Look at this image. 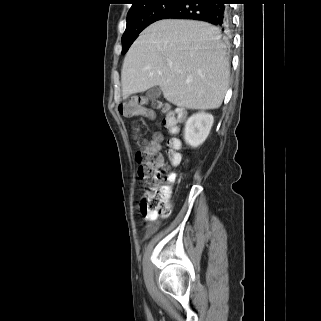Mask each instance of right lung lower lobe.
Wrapping results in <instances>:
<instances>
[{
	"instance_id": "obj_1",
	"label": "right lung lower lobe",
	"mask_w": 321,
	"mask_h": 321,
	"mask_svg": "<svg viewBox=\"0 0 321 321\" xmlns=\"http://www.w3.org/2000/svg\"><path fill=\"white\" fill-rule=\"evenodd\" d=\"M229 0H179L159 17L161 19H193L211 23L221 30L230 25Z\"/></svg>"
}]
</instances>
